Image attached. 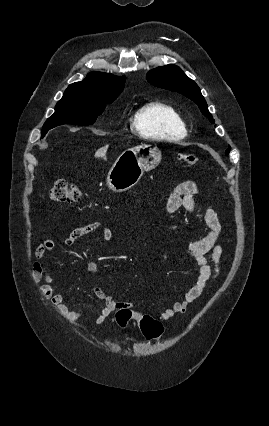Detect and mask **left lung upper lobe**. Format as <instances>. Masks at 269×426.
<instances>
[{"label":"left lung upper lobe","mask_w":269,"mask_h":426,"mask_svg":"<svg viewBox=\"0 0 269 426\" xmlns=\"http://www.w3.org/2000/svg\"><path fill=\"white\" fill-rule=\"evenodd\" d=\"M147 80L154 86L178 92L191 99L198 105L203 115L208 117L212 123L215 122L200 88L179 67L173 64L157 67L147 73ZM229 151L230 147L225 154L228 155Z\"/></svg>","instance_id":"left-lung-upper-lobe-1"}]
</instances>
